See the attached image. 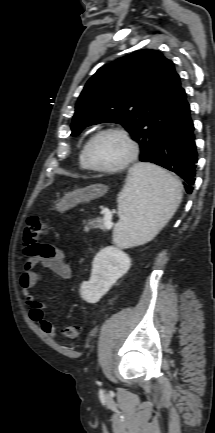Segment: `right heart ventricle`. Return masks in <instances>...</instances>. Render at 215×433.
<instances>
[{
    "mask_svg": "<svg viewBox=\"0 0 215 433\" xmlns=\"http://www.w3.org/2000/svg\"><path fill=\"white\" fill-rule=\"evenodd\" d=\"M84 147L81 149V151L79 153V166L82 170H89L90 168L87 166L85 159H84Z\"/></svg>",
    "mask_w": 215,
    "mask_h": 433,
    "instance_id": "e07e8e85",
    "label": "right heart ventricle"
}]
</instances>
